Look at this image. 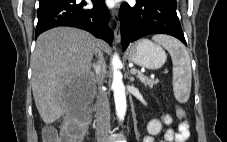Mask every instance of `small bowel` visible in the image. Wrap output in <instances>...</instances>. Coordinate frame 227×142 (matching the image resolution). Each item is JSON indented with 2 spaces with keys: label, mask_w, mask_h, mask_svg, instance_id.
Here are the masks:
<instances>
[{
  "label": "small bowel",
  "mask_w": 227,
  "mask_h": 142,
  "mask_svg": "<svg viewBox=\"0 0 227 142\" xmlns=\"http://www.w3.org/2000/svg\"><path fill=\"white\" fill-rule=\"evenodd\" d=\"M163 121L165 124L172 123V117L170 115L163 116ZM190 136L189 123L187 120L181 121L178 126V131L173 129H167L164 133L163 139L157 142H186ZM143 142H155L152 136H145Z\"/></svg>",
  "instance_id": "obj_1"
}]
</instances>
